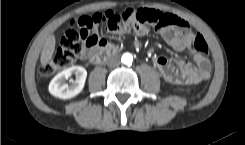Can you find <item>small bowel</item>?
<instances>
[{
	"instance_id": "1",
	"label": "small bowel",
	"mask_w": 245,
	"mask_h": 145,
	"mask_svg": "<svg viewBox=\"0 0 245 145\" xmlns=\"http://www.w3.org/2000/svg\"><path fill=\"white\" fill-rule=\"evenodd\" d=\"M92 31L97 34L96 27H94ZM136 33L138 35H145L147 29L144 27L138 28ZM195 34L196 33L191 30L188 22L185 20H179L176 24V28L163 27L159 31L160 37L166 44L175 51L188 50L194 61V64H192L179 58L175 59L174 64H172L167 58H156L154 60V67L165 81L172 84L187 83L195 85L208 78L209 74L208 76L203 75V69L206 66L207 61L206 57L192 48V40ZM98 39V45L96 47H85L83 49L80 56L81 59L86 60L90 58L95 49L107 45V41L104 38L98 37Z\"/></svg>"
}]
</instances>
